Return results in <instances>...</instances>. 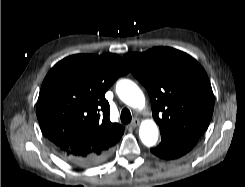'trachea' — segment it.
I'll return each mask as SVG.
<instances>
[{"instance_id":"obj_1","label":"trachea","mask_w":245,"mask_h":187,"mask_svg":"<svg viewBox=\"0 0 245 187\" xmlns=\"http://www.w3.org/2000/svg\"><path fill=\"white\" fill-rule=\"evenodd\" d=\"M131 119H132V116H131L130 111L127 108H124L121 111V115H120L121 122L124 124H128L131 122Z\"/></svg>"}]
</instances>
